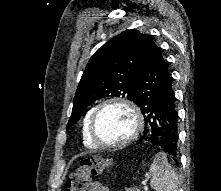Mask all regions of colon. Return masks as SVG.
Wrapping results in <instances>:
<instances>
[{"instance_id":"5ec220e1","label":"colon","mask_w":221,"mask_h":191,"mask_svg":"<svg viewBox=\"0 0 221 191\" xmlns=\"http://www.w3.org/2000/svg\"><path fill=\"white\" fill-rule=\"evenodd\" d=\"M109 166L110 160L101 157L83 159L79 168L70 176V191H89L92 177L103 173Z\"/></svg>"}]
</instances>
